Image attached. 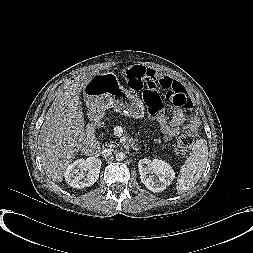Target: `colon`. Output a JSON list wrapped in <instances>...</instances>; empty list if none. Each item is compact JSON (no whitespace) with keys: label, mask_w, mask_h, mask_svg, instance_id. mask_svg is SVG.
Returning a JSON list of instances; mask_svg holds the SVG:
<instances>
[{"label":"colon","mask_w":253,"mask_h":253,"mask_svg":"<svg viewBox=\"0 0 253 253\" xmlns=\"http://www.w3.org/2000/svg\"><path fill=\"white\" fill-rule=\"evenodd\" d=\"M119 73L129 89L140 91L145 87L144 99L148 112L153 116L168 114L169 108L166 107V102L185 111L193 109L192 101L181 85H171L169 82L160 79L158 74L143 66L125 67ZM196 140L197 137L192 133L182 134L177 139L175 154L178 157H183Z\"/></svg>","instance_id":"5ec220e1"}]
</instances>
